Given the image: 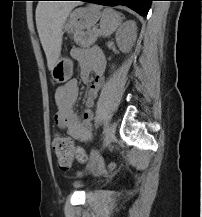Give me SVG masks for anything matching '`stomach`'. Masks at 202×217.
Returning <instances> with one entry per match:
<instances>
[{
    "label": "stomach",
    "instance_id": "stomach-1",
    "mask_svg": "<svg viewBox=\"0 0 202 217\" xmlns=\"http://www.w3.org/2000/svg\"><path fill=\"white\" fill-rule=\"evenodd\" d=\"M100 16L99 10L94 6L77 8L70 14L68 21L64 24V29L68 33L84 29L90 30L98 22ZM72 72L73 66L70 59L59 57L51 75L56 82L64 83L71 78Z\"/></svg>",
    "mask_w": 202,
    "mask_h": 217
}]
</instances>
